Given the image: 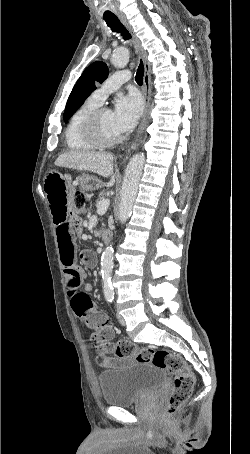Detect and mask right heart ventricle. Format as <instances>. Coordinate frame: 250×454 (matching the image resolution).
<instances>
[{"mask_svg":"<svg viewBox=\"0 0 250 454\" xmlns=\"http://www.w3.org/2000/svg\"><path fill=\"white\" fill-rule=\"evenodd\" d=\"M100 104L87 99L71 116L69 123L65 129V141L67 148L71 151L82 152L90 151L96 146L91 143L85 136L84 124L86 118L97 108Z\"/></svg>","mask_w":250,"mask_h":454,"instance_id":"e07e8e85","label":"right heart ventricle"}]
</instances>
